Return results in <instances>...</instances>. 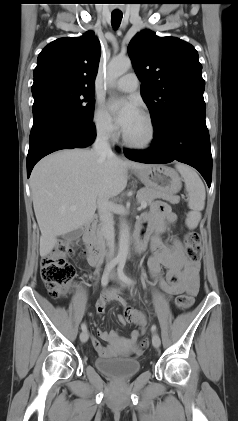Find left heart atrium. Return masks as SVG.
Wrapping results in <instances>:
<instances>
[{"label":"left heart atrium","instance_id":"obj_1","mask_svg":"<svg viewBox=\"0 0 238 421\" xmlns=\"http://www.w3.org/2000/svg\"><path fill=\"white\" fill-rule=\"evenodd\" d=\"M109 109L115 114L116 120L123 130L140 115L137 104L131 99L112 100L109 103Z\"/></svg>","mask_w":238,"mask_h":421}]
</instances>
